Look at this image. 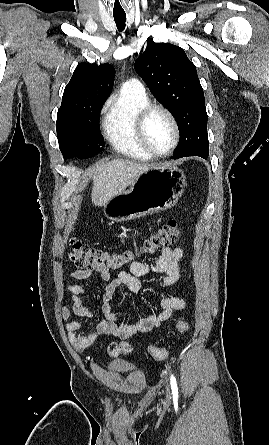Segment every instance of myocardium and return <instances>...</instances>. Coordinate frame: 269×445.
Segmentation results:
<instances>
[{
    "mask_svg": "<svg viewBox=\"0 0 269 445\" xmlns=\"http://www.w3.org/2000/svg\"><path fill=\"white\" fill-rule=\"evenodd\" d=\"M155 111L163 112L171 121L173 130H174V139H173L172 145L164 153L156 152L150 146L149 142L147 141L146 134H145L146 122H147L149 116ZM135 130H136L137 139H138L140 145L142 146V148L154 158L169 157L176 150V148L180 142L181 132H180V126H179L176 116L173 114V112L170 109H168L167 107L160 105V104L149 103L139 111L137 118H136Z\"/></svg>",
    "mask_w": 269,
    "mask_h": 445,
    "instance_id": "myocardium-1",
    "label": "myocardium"
}]
</instances>
